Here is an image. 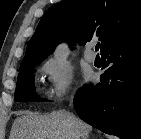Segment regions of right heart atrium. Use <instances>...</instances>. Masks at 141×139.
<instances>
[{
  "label": "right heart atrium",
  "mask_w": 141,
  "mask_h": 139,
  "mask_svg": "<svg viewBox=\"0 0 141 139\" xmlns=\"http://www.w3.org/2000/svg\"><path fill=\"white\" fill-rule=\"evenodd\" d=\"M41 72L47 81V99L53 103H61L74 94L75 78L70 67L49 59L41 66Z\"/></svg>",
  "instance_id": "1"
}]
</instances>
